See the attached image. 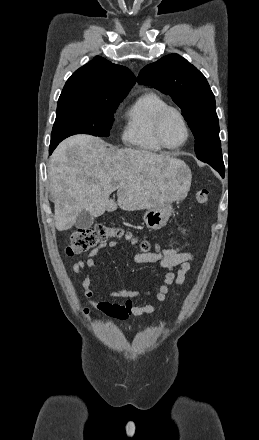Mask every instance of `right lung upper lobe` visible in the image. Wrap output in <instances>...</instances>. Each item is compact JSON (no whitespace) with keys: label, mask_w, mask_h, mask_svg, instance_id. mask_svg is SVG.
Masks as SVG:
<instances>
[{"label":"right lung upper lobe","mask_w":259,"mask_h":440,"mask_svg":"<svg viewBox=\"0 0 259 440\" xmlns=\"http://www.w3.org/2000/svg\"><path fill=\"white\" fill-rule=\"evenodd\" d=\"M135 82L136 77L128 68L97 56L72 74L60 98L115 101L124 99Z\"/></svg>","instance_id":"obj_1"}]
</instances>
